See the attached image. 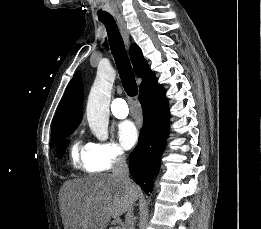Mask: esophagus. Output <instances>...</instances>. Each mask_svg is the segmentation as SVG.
<instances>
[{"label":"esophagus","instance_id":"esophagus-1","mask_svg":"<svg viewBox=\"0 0 261 229\" xmlns=\"http://www.w3.org/2000/svg\"><path fill=\"white\" fill-rule=\"evenodd\" d=\"M117 22L121 31V34L123 36V39L126 43V45L129 44V30L127 29L126 22L124 21L123 17L121 15H116Z\"/></svg>","mask_w":261,"mask_h":229}]
</instances>
